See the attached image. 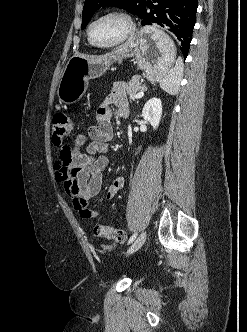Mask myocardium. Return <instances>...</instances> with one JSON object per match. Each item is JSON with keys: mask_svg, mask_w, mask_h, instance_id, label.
<instances>
[{"mask_svg": "<svg viewBox=\"0 0 247 332\" xmlns=\"http://www.w3.org/2000/svg\"><path fill=\"white\" fill-rule=\"evenodd\" d=\"M110 16H114V17H118L121 18L122 20L125 21L126 23V30L123 33V35L116 40L115 42L109 43V44H97L95 43L92 38H91V29L93 27V25L100 19L105 18V17H110ZM135 32V23L133 21V19L131 18V16L123 11H118V10H111V11H107L104 12L102 14H100L99 16H97L96 18H94L90 24L87 27V39L89 41V43L96 47V48H101V49H111V48H116L120 45H122L123 43H125Z\"/></svg>", "mask_w": 247, "mask_h": 332, "instance_id": "f54148a6", "label": "myocardium"}]
</instances>
